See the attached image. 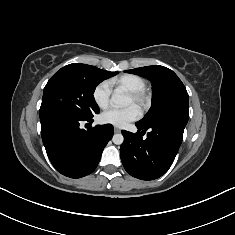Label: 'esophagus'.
Instances as JSON below:
<instances>
[{"mask_svg":"<svg viewBox=\"0 0 235 235\" xmlns=\"http://www.w3.org/2000/svg\"><path fill=\"white\" fill-rule=\"evenodd\" d=\"M114 132H115V133H119V132H121V129L118 128V127H114Z\"/></svg>","mask_w":235,"mask_h":235,"instance_id":"esophagus-1","label":"esophagus"}]
</instances>
